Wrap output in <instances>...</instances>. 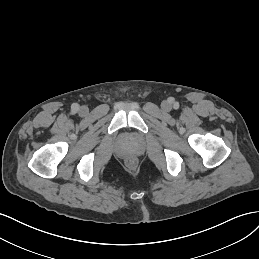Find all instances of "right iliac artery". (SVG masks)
Returning a JSON list of instances; mask_svg holds the SVG:
<instances>
[{"instance_id": "obj_1", "label": "right iliac artery", "mask_w": 259, "mask_h": 259, "mask_svg": "<svg viewBox=\"0 0 259 259\" xmlns=\"http://www.w3.org/2000/svg\"><path fill=\"white\" fill-rule=\"evenodd\" d=\"M73 112H77L79 110V105L77 103L72 104L71 106Z\"/></svg>"}]
</instances>
